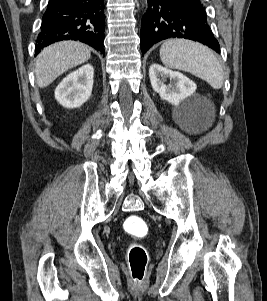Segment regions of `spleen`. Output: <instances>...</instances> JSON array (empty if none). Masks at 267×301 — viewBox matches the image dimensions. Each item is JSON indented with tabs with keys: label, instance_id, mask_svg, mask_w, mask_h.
Returning <instances> with one entry per match:
<instances>
[{
	"label": "spleen",
	"instance_id": "obj_1",
	"mask_svg": "<svg viewBox=\"0 0 267 301\" xmlns=\"http://www.w3.org/2000/svg\"><path fill=\"white\" fill-rule=\"evenodd\" d=\"M162 63L171 69L189 72L220 89L224 73L217 57L206 46L185 39H169L160 48Z\"/></svg>",
	"mask_w": 267,
	"mask_h": 301
}]
</instances>
